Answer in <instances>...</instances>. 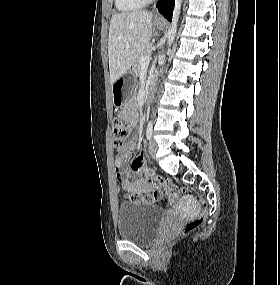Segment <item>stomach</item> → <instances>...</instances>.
<instances>
[{
    "mask_svg": "<svg viewBox=\"0 0 280 285\" xmlns=\"http://www.w3.org/2000/svg\"><path fill=\"white\" fill-rule=\"evenodd\" d=\"M155 26L158 29H163L164 22H155ZM133 79L129 73L124 74L120 79L115 81L112 85V100L115 106H121L124 104L127 96V88L131 86Z\"/></svg>",
    "mask_w": 280,
    "mask_h": 285,
    "instance_id": "0dacf381",
    "label": "stomach"
}]
</instances>
